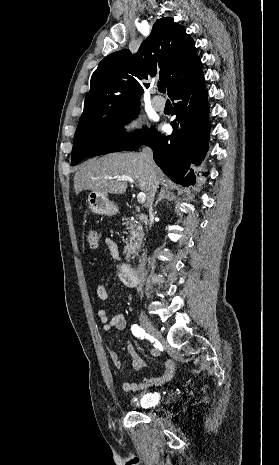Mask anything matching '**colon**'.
Returning a JSON list of instances; mask_svg holds the SVG:
<instances>
[{
	"label": "colon",
	"mask_w": 279,
	"mask_h": 465,
	"mask_svg": "<svg viewBox=\"0 0 279 465\" xmlns=\"http://www.w3.org/2000/svg\"><path fill=\"white\" fill-rule=\"evenodd\" d=\"M86 241L91 248H98L101 241V233L96 229L88 230L86 232Z\"/></svg>",
	"instance_id": "5ec220e1"
}]
</instances>
